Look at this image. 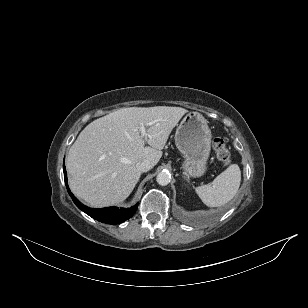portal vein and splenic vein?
I'll return each instance as SVG.
<instances>
[{
  "mask_svg": "<svg viewBox=\"0 0 308 308\" xmlns=\"http://www.w3.org/2000/svg\"><path fill=\"white\" fill-rule=\"evenodd\" d=\"M154 123H155V121L150 122V123H148L147 125H152V124H154ZM140 131H141L142 137H147V136H148V134H147V132H146V125L141 124V126H140Z\"/></svg>",
  "mask_w": 308,
  "mask_h": 308,
  "instance_id": "18ae733b",
  "label": "portal vein and splenic vein"
}]
</instances>
